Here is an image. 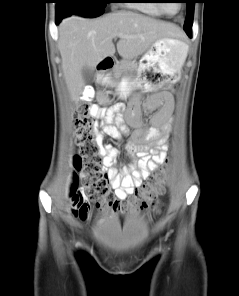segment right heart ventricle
I'll list each match as a JSON object with an SVG mask.
<instances>
[{
    "label": "right heart ventricle",
    "instance_id": "right-heart-ventricle-1",
    "mask_svg": "<svg viewBox=\"0 0 239 296\" xmlns=\"http://www.w3.org/2000/svg\"><path fill=\"white\" fill-rule=\"evenodd\" d=\"M136 9L153 16H162L163 13L158 8L155 0H140L138 3L131 4Z\"/></svg>",
    "mask_w": 239,
    "mask_h": 296
}]
</instances>
